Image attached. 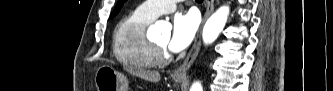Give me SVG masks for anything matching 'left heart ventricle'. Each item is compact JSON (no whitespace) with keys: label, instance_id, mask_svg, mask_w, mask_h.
Masks as SVG:
<instances>
[{"label":"left heart ventricle","instance_id":"1","mask_svg":"<svg viewBox=\"0 0 333 91\" xmlns=\"http://www.w3.org/2000/svg\"><path fill=\"white\" fill-rule=\"evenodd\" d=\"M168 40H169V34L166 33L157 37L153 42L163 48H166Z\"/></svg>","mask_w":333,"mask_h":91}]
</instances>
